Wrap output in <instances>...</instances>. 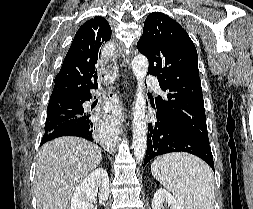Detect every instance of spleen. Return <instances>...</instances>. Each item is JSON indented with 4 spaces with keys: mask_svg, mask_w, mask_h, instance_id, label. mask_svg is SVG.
<instances>
[{
    "mask_svg": "<svg viewBox=\"0 0 253 209\" xmlns=\"http://www.w3.org/2000/svg\"><path fill=\"white\" fill-rule=\"evenodd\" d=\"M151 173L172 192L182 209H213V172L199 158L186 153L159 156L151 165Z\"/></svg>",
    "mask_w": 253,
    "mask_h": 209,
    "instance_id": "obj_1",
    "label": "spleen"
}]
</instances>
